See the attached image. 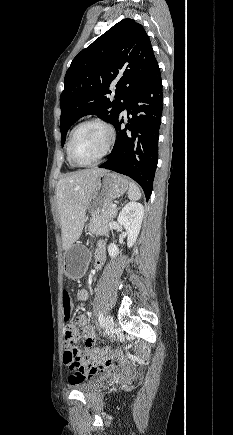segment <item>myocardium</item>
Listing matches in <instances>:
<instances>
[{"label":"myocardium","mask_w":233,"mask_h":435,"mask_svg":"<svg viewBox=\"0 0 233 435\" xmlns=\"http://www.w3.org/2000/svg\"><path fill=\"white\" fill-rule=\"evenodd\" d=\"M91 124L98 125V126L105 129V131L107 133V142H106V145H105L103 151L100 153V155L94 161L89 162V163H79L74 158V155H73V151H72L73 139H74L76 132L81 127L86 126V125H91ZM114 139H115V132H114L112 126L109 123H107L106 121L99 119V118H90V119L83 120V121L79 122L70 133L69 141L67 144L68 158L70 159L71 163L76 167L86 168V167L95 166V165L99 164L105 158V156L109 153L111 146L114 142Z\"/></svg>","instance_id":"1"}]
</instances>
